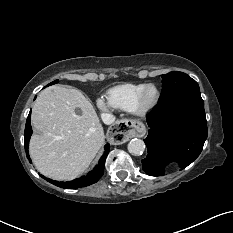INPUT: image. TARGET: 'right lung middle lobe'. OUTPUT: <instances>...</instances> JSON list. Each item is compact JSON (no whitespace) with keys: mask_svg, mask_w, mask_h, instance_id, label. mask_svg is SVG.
<instances>
[{"mask_svg":"<svg viewBox=\"0 0 233 233\" xmlns=\"http://www.w3.org/2000/svg\"><path fill=\"white\" fill-rule=\"evenodd\" d=\"M57 82H58V80H55V81L51 82L50 84H48L47 86L52 85V84H55V83H57Z\"/></svg>","mask_w":233,"mask_h":233,"instance_id":"right-lung-middle-lobe-1","label":"right lung middle lobe"}]
</instances>
